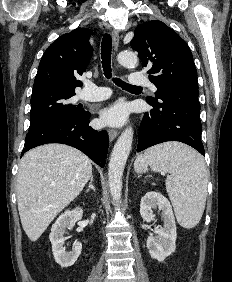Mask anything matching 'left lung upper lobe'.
I'll return each instance as SVG.
<instances>
[{"instance_id": "5c2ea615", "label": "left lung upper lobe", "mask_w": 232, "mask_h": 282, "mask_svg": "<svg viewBox=\"0 0 232 282\" xmlns=\"http://www.w3.org/2000/svg\"><path fill=\"white\" fill-rule=\"evenodd\" d=\"M131 45L148 69L149 79L159 93L166 87L198 89L197 71L187 43L161 21H149L138 25Z\"/></svg>"}]
</instances>
